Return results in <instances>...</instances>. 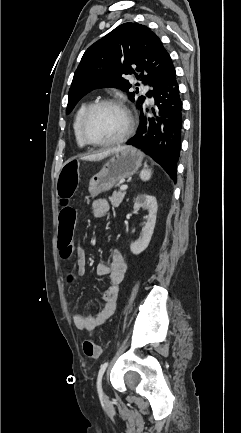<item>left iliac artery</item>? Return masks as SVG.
I'll use <instances>...</instances> for the list:
<instances>
[{
    "instance_id": "obj_1",
    "label": "left iliac artery",
    "mask_w": 241,
    "mask_h": 433,
    "mask_svg": "<svg viewBox=\"0 0 241 433\" xmlns=\"http://www.w3.org/2000/svg\"><path fill=\"white\" fill-rule=\"evenodd\" d=\"M107 366H108V362L103 363V364L100 366V370H99V373H98V378H97V390H98V393H99L100 396L103 395V394H102V388H101V380H102L103 374H104V372H105Z\"/></svg>"
}]
</instances>
